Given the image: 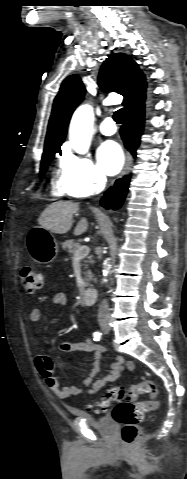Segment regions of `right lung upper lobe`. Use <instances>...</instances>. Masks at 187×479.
<instances>
[{
	"instance_id": "right-lung-upper-lobe-1",
	"label": "right lung upper lobe",
	"mask_w": 187,
	"mask_h": 479,
	"mask_svg": "<svg viewBox=\"0 0 187 479\" xmlns=\"http://www.w3.org/2000/svg\"><path fill=\"white\" fill-rule=\"evenodd\" d=\"M98 84L105 92L115 91L124 96L122 105L125 112L145 105V75L130 56L123 53L110 55L100 69ZM84 95L85 88L78 75H71L64 80L54 100L44 152L59 150L65 139L71 115L84 99Z\"/></svg>"
}]
</instances>
